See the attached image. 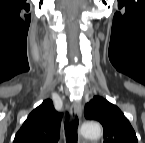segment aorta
<instances>
[{
  "label": "aorta",
  "mask_w": 145,
  "mask_h": 143,
  "mask_svg": "<svg viewBox=\"0 0 145 143\" xmlns=\"http://www.w3.org/2000/svg\"><path fill=\"white\" fill-rule=\"evenodd\" d=\"M81 134L85 138H99L102 134V128L97 122L87 121L82 125Z\"/></svg>",
  "instance_id": "762f6f07"
}]
</instances>
